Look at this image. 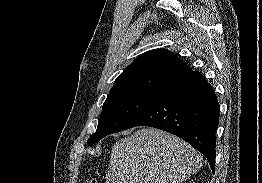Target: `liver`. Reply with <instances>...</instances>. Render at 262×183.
<instances>
[{
	"instance_id": "6515ba94",
	"label": "liver",
	"mask_w": 262,
	"mask_h": 183,
	"mask_svg": "<svg viewBox=\"0 0 262 183\" xmlns=\"http://www.w3.org/2000/svg\"><path fill=\"white\" fill-rule=\"evenodd\" d=\"M202 161L183 139L142 128L114 144L106 183H182L202 167Z\"/></svg>"
}]
</instances>
